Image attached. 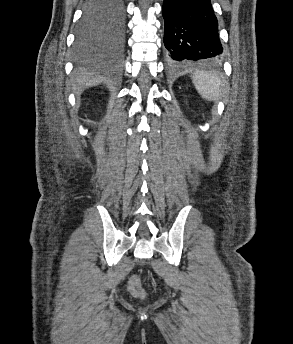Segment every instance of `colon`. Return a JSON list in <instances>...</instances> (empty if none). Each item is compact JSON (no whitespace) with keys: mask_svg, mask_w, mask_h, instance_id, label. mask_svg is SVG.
Here are the masks:
<instances>
[{"mask_svg":"<svg viewBox=\"0 0 293 344\" xmlns=\"http://www.w3.org/2000/svg\"><path fill=\"white\" fill-rule=\"evenodd\" d=\"M129 292L136 298L143 299L146 296V292L141 286V282L138 277H132L128 283Z\"/></svg>","mask_w":293,"mask_h":344,"instance_id":"1","label":"colon"}]
</instances>
